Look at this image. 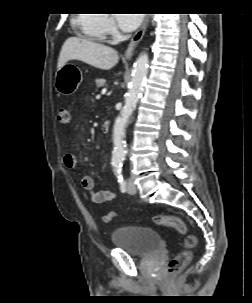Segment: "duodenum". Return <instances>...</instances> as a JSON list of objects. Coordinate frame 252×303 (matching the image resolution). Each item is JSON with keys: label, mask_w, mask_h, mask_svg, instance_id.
<instances>
[{"label": "duodenum", "mask_w": 252, "mask_h": 303, "mask_svg": "<svg viewBox=\"0 0 252 303\" xmlns=\"http://www.w3.org/2000/svg\"><path fill=\"white\" fill-rule=\"evenodd\" d=\"M109 128H110V121H109V120H106V121L103 122V124L101 125V131H102L103 133H106V132H108Z\"/></svg>", "instance_id": "duodenum-1"}]
</instances>
